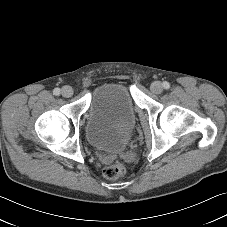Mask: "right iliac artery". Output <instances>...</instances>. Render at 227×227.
<instances>
[{
  "instance_id": "1",
  "label": "right iliac artery",
  "mask_w": 227,
  "mask_h": 227,
  "mask_svg": "<svg viewBox=\"0 0 227 227\" xmlns=\"http://www.w3.org/2000/svg\"><path fill=\"white\" fill-rule=\"evenodd\" d=\"M53 94L56 95V96H58L60 94V89L59 88H55L53 90Z\"/></svg>"
}]
</instances>
